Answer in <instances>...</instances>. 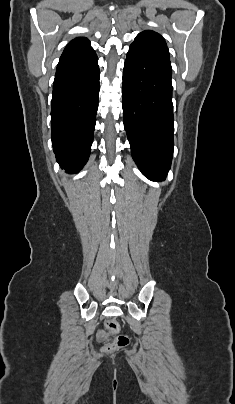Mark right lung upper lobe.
Masks as SVG:
<instances>
[{
    "instance_id": "cb5924a9",
    "label": "right lung upper lobe",
    "mask_w": 235,
    "mask_h": 404,
    "mask_svg": "<svg viewBox=\"0 0 235 404\" xmlns=\"http://www.w3.org/2000/svg\"><path fill=\"white\" fill-rule=\"evenodd\" d=\"M95 56L96 54L91 47L90 41L84 37H77L66 46L59 63L87 60Z\"/></svg>"
}]
</instances>
